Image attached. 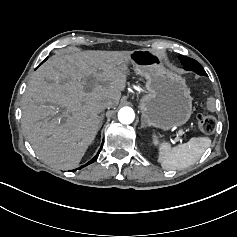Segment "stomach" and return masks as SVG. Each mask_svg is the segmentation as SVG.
Instances as JSON below:
<instances>
[{
	"instance_id": "1",
	"label": "stomach",
	"mask_w": 237,
	"mask_h": 237,
	"mask_svg": "<svg viewBox=\"0 0 237 237\" xmlns=\"http://www.w3.org/2000/svg\"><path fill=\"white\" fill-rule=\"evenodd\" d=\"M164 56L152 49L130 53L136 74L146 79L148 93L140 100L143 118L155 127L170 129L185 124L192 114V97L185 79L163 65Z\"/></svg>"
}]
</instances>
